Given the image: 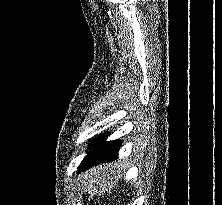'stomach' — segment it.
I'll return each instance as SVG.
<instances>
[{"label": "stomach", "instance_id": "1", "mask_svg": "<svg viewBox=\"0 0 222 205\" xmlns=\"http://www.w3.org/2000/svg\"><path fill=\"white\" fill-rule=\"evenodd\" d=\"M120 177L119 172L114 171H95L94 178H91L90 184L86 186L88 190L95 191L96 193H103L110 190Z\"/></svg>", "mask_w": 222, "mask_h": 205}]
</instances>
